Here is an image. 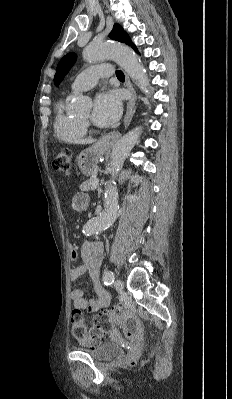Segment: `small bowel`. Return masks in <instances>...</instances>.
Returning <instances> with one entry per match:
<instances>
[{
	"label": "small bowel",
	"instance_id": "obj_1",
	"mask_svg": "<svg viewBox=\"0 0 232 399\" xmlns=\"http://www.w3.org/2000/svg\"><path fill=\"white\" fill-rule=\"evenodd\" d=\"M89 203V196L86 193L77 192L72 196L71 206L74 210H82L87 207ZM104 241L102 238L97 237L84 244L81 248H76L72 245L69 246L70 260H77L81 258L83 262L77 266L69 275V283L74 285L78 282L79 278L88 272L92 284V288L96 294V299L93 303H89L82 295L80 290H71L70 299L77 309H90L98 310L105 308L109 304V293L100 285L99 282V269L102 265L103 254L102 248Z\"/></svg>",
	"mask_w": 232,
	"mask_h": 399
}]
</instances>
